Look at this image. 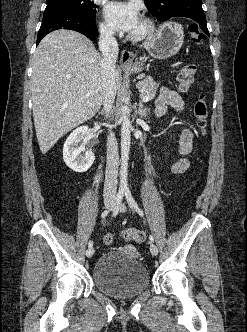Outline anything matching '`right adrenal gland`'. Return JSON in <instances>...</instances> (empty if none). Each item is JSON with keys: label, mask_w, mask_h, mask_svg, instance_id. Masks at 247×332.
Returning a JSON list of instances; mask_svg holds the SVG:
<instances>
[{"label": "right adrenal gland", "mask_w": 247, "mask_h": 332, "mask_svg": "<svg viewBox=\"0 0 247 332\" xmlns=\"http://www.w3.org/2000/svg\"><path fill=\"white\" fill-rule=\"evenodd\" d=\"M104 114V110H102L101 112H99V115H103Z\"/></svg>", "instance_id": "right-adrenal-gland-1"}]
</instances>
